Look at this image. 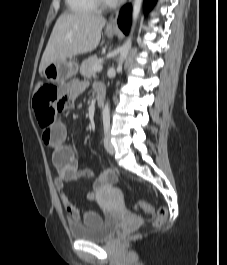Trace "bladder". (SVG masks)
<instances>
[{
	"label": "bladder",
	"mask_w": 227,
	"mask_h": 265,
	"mask_svg": "<svg viewBox=\"0 0 227 265\" xmlns=\"http://www.w3.org/2000/svg\"><path fill=\"white\" fill-rule=\"evenodd\" d=\"M118 227L114 217L103 218L93 225L72 224L69 227L70 235L76 240L101 242L109 239Z\"/></svg>",
	"instance_id": "bladder-1"
}]
</instances>
